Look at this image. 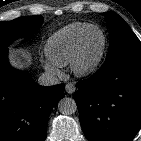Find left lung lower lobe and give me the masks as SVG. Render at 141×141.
<instances>
[{
    "label": "left lung lower lobe",
    "instance_id": "0a47b994",
    "mask_svg": "<svg viewBox=\"0 0 141 141\" xmlns=\"http://www.w3.org/2000/svg\"><path fill=\"white\" fill-rule=\"evenodd\" d=\"M74 94L89 141H131L141 127V55L105 62Z\"/></svg>",
    "mask_w": 141,
    "mask_h": 141
}]
</instances>
